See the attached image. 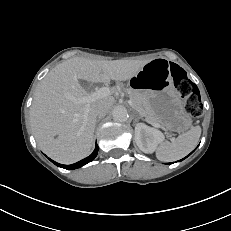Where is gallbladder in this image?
Masks as SVG:
<instances>
[{
	"label": "gallbladder",
	"instance_id": "obj_1",
	"mask_svg": "<svg viewBox=\"0 0 231 231\" xmlns=\"http://www.w3.org/2000/svg\"><path fill=\"white\" fill-rule=\"evenodd\" d=\"M79 83L83 89H88L91 86L90 83L88 81H85V80H80Z\"/></svg>",
	"mask_w": 231,
	"mask_h": 231
}]
</instances>
